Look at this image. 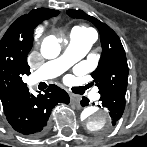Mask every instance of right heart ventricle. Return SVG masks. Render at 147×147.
Listing matches in <instances>:
<instances>
[{
  "label": "right heart ventricle",
  "instance_id": "e07e8e85",
  "mask_svg": "<svg viewBox=\"0 0 147 147\" xmlns=\"http://www.w3.org/2000/svg\"><path fill=\"white\" fill-rule=\"evenodd\" d=\"M76 30H79V31H82V32H87L88 30L86 29V28H84V27H76L75 28ZM89 33H91V32H89Z\"/></svg>",
  "mask_w": 147,
  "mask_h": 147
}]
</instances>
